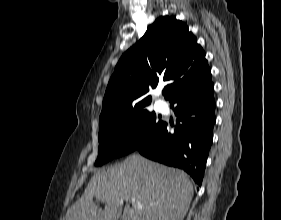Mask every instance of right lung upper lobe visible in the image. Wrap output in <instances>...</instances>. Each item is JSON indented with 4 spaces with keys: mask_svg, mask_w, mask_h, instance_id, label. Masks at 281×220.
<instances>
[{
    "mask_svg": "<svg viewBox=\"0 0 281 220\" xmlns=\"http://www.w3.org/2000/svg\"><path fill=\"white\" fill-rule=\"evenodd\" d=\"M168 82L166 99L211 81L205 52L188 27L176 18L162 16L117 63L108 83L99 118L104 123L143 109L147 95L158 83Z\"/></svg>",
    "mask_w": 281,
    "mask_h": 220,
    "instance_id": "1",
    "label": "right lung upper lobe"
}]
</instances>
